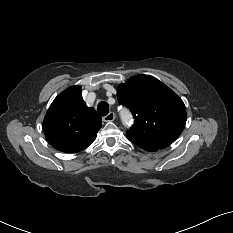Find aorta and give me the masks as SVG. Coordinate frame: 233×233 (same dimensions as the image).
Masks as SVG:
<instances>
[{
  "mask_svg": "<svg viewBox=\"0 0 233 233\" xmlns=\"http://www.w3.org/2000/svg\"><path fill=\"white\" fill-rule=\"evenodd\" d=\"M119 114H120L122 124L124 126L130 125V123L132 121V116H131L130 112L126 108H121L119 111Z\"/></svg>",
  "mask_w": 233,
  "mask_h": 233,
  "instance_id": "obj_1",
  "label": "aorta"
}]
</instances>
